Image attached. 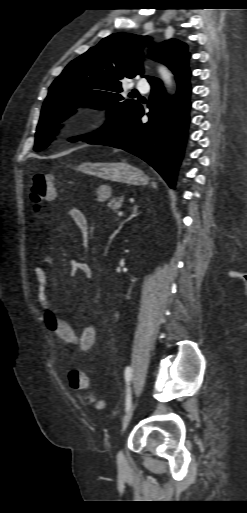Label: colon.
Returning <instances> with one entry per match:
<instances>
[{"label":"colon","mask_w":247,"mask_h":513,"mask_svg":"<svg viewBox=\"0 0 247 513\" xmlns=\"http://www.w3.org/2000/svg\"><path fill=\"white\" fill-rule=\"evenodd\" d=\"M100 196L105 200L108 187L101 185L99 187ZM57 194V186L54 177L49 173H38L34 175L32 182L29 186V197L35 207H38L41 203L53 200ZM70 386L76 390L89 391L90 390V379L89 377L80 371L73 370L69 373ZM100 406V403H98Z\"/></svg>","instance_id":"colon-1"}]
</instances>
